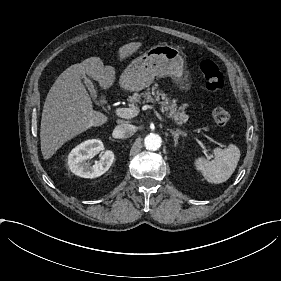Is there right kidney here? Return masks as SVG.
Instances as JSON below:
<instances>
[{
	"label": "right kidney",
	"instance_id": "right-kidney-1",
	"mask_svg": "<svg viewBox=\"0 0 281 281\" xmlns=\"http://www.w3.org/2000/svg\"><path fill=\"white\" fill-rule=\"evenodd\" d=\"M103 151L104 147L100 139H88L76 145L67 156L69 170L73 174L84 178H95L104 174L114 161L112 152H106L95 161L94 165L86 163L89 158L101 154Z\"/></svg>",
	"mask_w": 281,
	"mask_h": 281
}]
</instances>
